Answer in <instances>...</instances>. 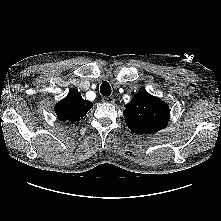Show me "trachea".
Here are the masks:
<instances>
[{
    "label": "trachea",
    "instance_id": "obj_1",
    "mask_svg": "<svg viewBox=\"0 0 221 221\" xmlns=\"http://www.w3.org/2000/svg\"><path fill=\"white\" fill-rule=\"evenodd\" d=\"M100 92L103 96L111 95V86L108 82H103L100 86Z\"/></svg>",
    "mask_w": 221,
    "mask_h": 221
}]
</instances>
